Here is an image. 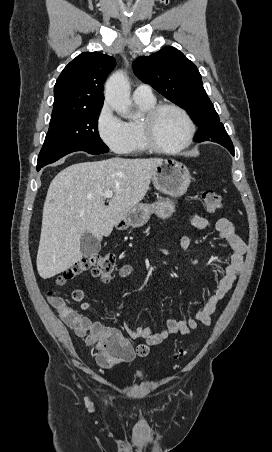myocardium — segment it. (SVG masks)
Returning <instances> with one entry per match:
<instances>
[{"label":"myocardium","mask_w":272,"mask_h":452,"mask_svg":"<svg viewBox=\"0 0 272 452\" xmlns=\"http://www.w3.org/2000/svg\"><path fill=\"white\" fill-rule=\"evenodd\" d=\"M165 109H172V110L177 111L184 118L186 126H187V132H186L185 138L183 139V141L180 144H178L177 146H174V147L162 146L153 137V122H154L156 116L162 110H165ZM140 127H141V133H142L143 140H144L146 146L148 147V149H151L153 151L160 152V153H167V154L178 153V152L184 150L185 148H187L190 145V143L192 142L194 134H195V125H194L192 118L188 114V112L181 106L174 104V103L156 104L152 108L148 109L145 112L143 119L141 120Z\"/></svg>","instance_id":"f54148a6"}]
</instances>
